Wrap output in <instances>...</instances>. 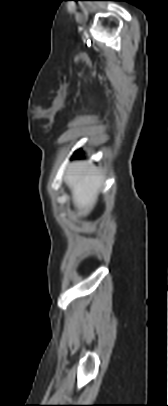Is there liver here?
Returning a JSON list of instances; mask_svg holds the SVG:
<instances>
[{
    "mask_svg": "<svg viewBox=\"0 0 168 406\" xmlns=\"http://www.w3.org/2000/svg\"><path fill=\"white\" fill-rule=\"evenodd\" d=\"M64 181L71 189L74 206L79 214L86 216L97 202L98 193L103 185L104 178L98 169L83 161L69 164Z\"/></svg>",
    "mask_w": 168,
    "mask_h": 406,
    "instance_id": "obj_1",
    "label": "liver"
}]
</instances>
